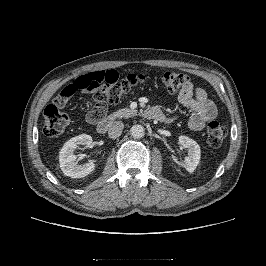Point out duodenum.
Listing matches in <instances>:
<instances>
[{
  "instance_id": "410a0bca",
  "label": "duodenum",
  "mask_w": 266,
  "mask_h": 266,
  "mask_svg": "<svg viewBox=\"0 0 266 266\" xmlns=\"http://www.w3.org/2000/svg\"><path fill=\"white\" fill-rule=\"evenodd\" d=\"M143 116L149 120L163 121L165 120L164 114L156 108H149L143 111ZM88 118L92 124L96 126L98 133L104 134L108 132L114 123L115 117H105L98 110H92L88 113Z\"/></svg>"
}]
</instances>
